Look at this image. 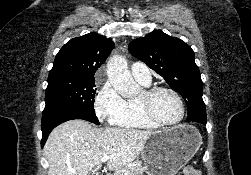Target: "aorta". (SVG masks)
<instances>
[{
  "label": "aorta",
  "mask_w": 251,
  "mask_h": 175,
  "mask_svg": "<svg viewBox=\"0 0 251 175\" xmlns=\"http://www.w3.org/2000/svg\"><path fill=\"white\" fill-rule=\"evenodd\" d=\"M108 80L120 95L128 97L139 89L138 84L134 82L127 66L125 58L122 56H113L107 64Z\"/></svg>",
  "instance_id": "aorta-1"
}]
</instances>
